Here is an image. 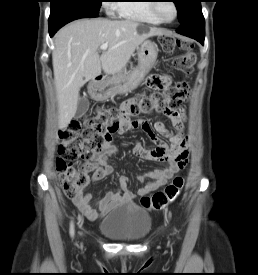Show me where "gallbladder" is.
I'll return each mask as SVG.
<instances>
[{"instance_id":"1","label":"gallbladder","mask_w":258,"mask_h":275,"mask_svg":"<svg viewBox=\"0 0 258 275\" xmlns=\"http://www.w3.org/2000/svg\"><path fill=\"white\" fill-rule=\"evenodd\" d=\"M89 100L85 97H81L77 103L76 117L83 116L89 109Z\"/></svg>"}]
</instances>
